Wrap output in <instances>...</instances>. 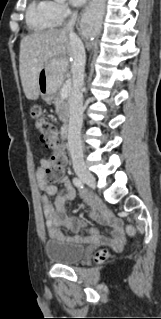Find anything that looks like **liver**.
Masks as SVG:
<instances>
[{
  "label": "liver",
  "instance_id": "1",
  "mask_svg": "<svg viewBox=\"0 0 161 319\" xmlns=\"http://www.w3.org/2000/svg\"><path fill=\"white\" fill-rule=\"evenodd\" d=\"M72 56L69 33L52 29L26 36L20 43L19 70L23 91L29 100L39 97L38 75L48 61L57 60L64 71Z\"/></svg>",
  "mask_w": 161,
  "mask_h": 319
}]
</instances>
